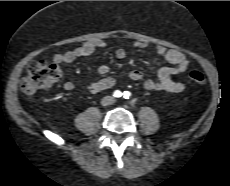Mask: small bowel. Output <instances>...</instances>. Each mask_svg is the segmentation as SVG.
I'll return each mask as SVG.
<instances>
[{
  "label": "small bowel",
  "instance_id": "obj_1",
  "mask_svg": "<svg viewBox=\"0 0 230 186\" xmlns=\"http://www.w3.org/2000/svg\"><path fill=\"white\" fill-rule=\"evenodd\" d=\"M106 44L102 40H90L74 50L58 53L53 57L55 63L66 65L78 58H91L98 48L104 47ZM147 47V43L144 41H136L134 43L135 49H144ZM156 53L158 58L164 59L170 65L162 66L157 70V79H147L143 83V87L147 91H161L169 93H179L185 89V84L182 82L172 80L173 75L184 74L189 67L188 56L172 48H166L162 45L156 47ZM119 60H124L127 56L126 51L123 48H119L115 53ZM110 68L106 64H101L97 68V73L101 76L100 79L92 81L88 84L87 89L90 93L96 94L103 90L110 89L115 86L116 79L109 76ZM129 78L134 81H140L143 79V73L139 70H132L128 74ZM63 88L66 91H72L75 85L71 81H66L63 84Z\"/></svg>",
  "mask_w": 230,
  "mask_h": 186
}]
</instances>
